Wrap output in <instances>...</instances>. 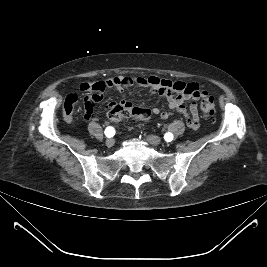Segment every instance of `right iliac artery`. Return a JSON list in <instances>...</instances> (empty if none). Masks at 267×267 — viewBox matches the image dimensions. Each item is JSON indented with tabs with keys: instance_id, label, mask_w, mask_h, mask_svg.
Wrapping results in <instances>:
<instances>
[{
	"instance_id": "1",
	"label": "right iliac artery",
	"mask_w": 267,
	"mask_h": 267,
	"mask_svg": "<svg viewBox=\"0 0 267 267\" xmlns=\"http://www.w3.org/2000/svg\"><path fill=\"white\" fill-rule=\"evenodd\" d=\"M114 134H115V130H114L113 127H107V128L105 129V135H106L107 137H112Z\"/></svg>"
}]
</instances>
